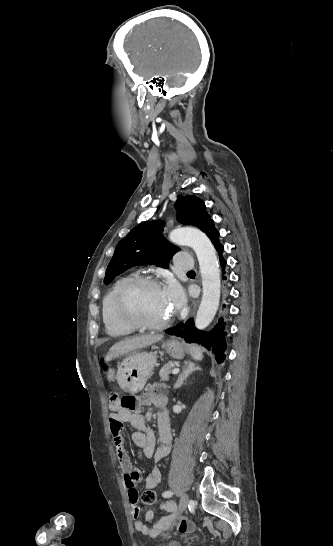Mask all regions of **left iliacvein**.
Here are the masks:
<instances>
[{
	"mask_svg": "<svg viewBox=\"0 0 333 546\" xmlns=\"http://www.w3.org/2000/svg\"><path fill=\"white\" fill-rule=\"evenodd\" d=\"M188 502H189V496L188 494L185 493L181 496V499L179 502L178 518L186 510Z\"/></svg>",
	"mask_w": 333,
	"mask_h": 546,
	"instance_id": "obj_1",
	"label": "left iliac vein"
}]
</instances>
